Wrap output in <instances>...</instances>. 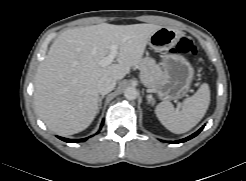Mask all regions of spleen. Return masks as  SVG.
I'll return each instance as SVG.
<instances>
[{
	"instance_id": "spleen-1",
	"label": "spleen",
	"mask_w": 246,
	"mask_h": 181,
	"mask_svg": "<svg viewBox=\"0 0 246 181\" xmlns=\"http://www.w3.org/2000/svg\"><path fill=\"white\" fill-rule=\"evenodd\" d=\"M210 104V89L204 83L191 97L184 100L180 110L169 101L156 106L155 113L159 121L171 132L182 134L195 127L204 117Z\"/></svg>"
}]
</instances>
